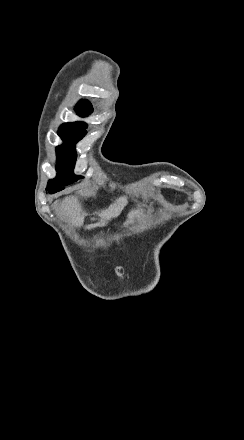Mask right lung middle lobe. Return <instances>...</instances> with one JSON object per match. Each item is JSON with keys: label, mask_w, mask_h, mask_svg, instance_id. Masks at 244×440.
I'll return each mask as SVG.
<instances>
[{"label": "right lung middle lobe", "mask_w": 244, "mask_h": 440, "mask_svg": "<svg viewBox=\"0 0 244 440\" xmlns=\"http://www.w3.org/2000/svg\"><path fill=\"white\" fill-rule=\"evenodd\" d=\"M80 116H87L92 110H76ZM86 124L82 122L65 123L58 131L59 136L64 141L63 145L56 148L57 152V177L49 180L48 186L58 185L66 186L76 182L83 176L73 174L77 154L75 144L81 140L87 131Z\"/></svg>", "instance_id": "1"}]
</instances>
